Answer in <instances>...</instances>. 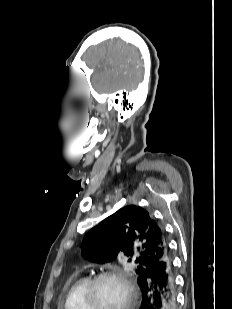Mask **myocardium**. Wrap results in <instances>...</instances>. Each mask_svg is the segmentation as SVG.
I'll return each mask as SVG.
<instances>
[{"label": "myocardium", "instance_id": "f54148a6", "mask_svg": "<svg viewBox=\"0 0 232 309\" xmlns=\"http://www.w3.org/2000/svg\"><path fill=\"white\" fill-rule=\"evenodd\" d=\"M112 278L118 280L125 288V302L121 309H131L136 297L134 286L123 271L119 269H108L94 275L87 285L85 290L84 300L88 309H98L96 290L98 284L105 279Z\"/></svg>", "mask_w": 232, "mask_h": 309}]
</instances>
